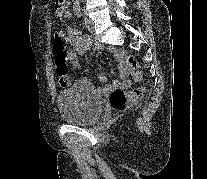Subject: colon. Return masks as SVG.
Returning a JSON list of instances; mask_svg holds the SVG:
<instances>
[{"mask_svg": "<svg viewBox=\"0 0 207 179\" xmlns=\"http://www.w3.org/2000/svg\"><path fill=\"white\" fill-rule=\"evenodd\" d=\"M68 0H55L54 11L57 18L61 19L66 11ZM54 51H55V67L56 73L60 78V83L62 85L67 84V74L69 72L68 68V58L64 49L63 42L60 38L54 37ZM125 62L129 67L133 77L136 80L141 79V72L138 62L132 55H126ZM145 93L144 87L135 88L132 91H126L122 88L114 89L109 97V102L111 107L116 112L125 111L130 104L139 101Z\"/></svg>", "mask_w": 207, "mask_h": 179, "instance_id": "obj_1", "label": "colon"}]
</instances>
